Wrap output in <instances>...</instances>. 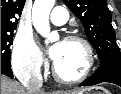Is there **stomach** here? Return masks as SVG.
I'll return each instance as SVG.
<instances>
[{"label":"stomach","mask_w":121,"mask_h":94,"mask_svg":"<svg viewBox=\"0 0 121 94\" xmlns=\"http://www.w3.org/2000/svg\"><path fill=\"white\" fill-rule=\"evenodd\" d=\"M77 94H111V93L103 87H92L87 90H83Z\"/></svg>","instance_id":"stomach-1"}]
</instances>
